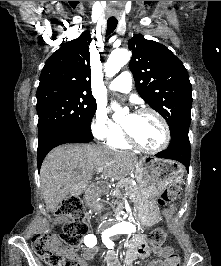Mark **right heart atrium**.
<instances>
[{
	"instance_id": "d8ad5b80",
	"label": "right heart atrium",
	"mask_w": 221,
	"mask_h": 266,
	"mask_svg": "<svg viewBox=\"0 0 221 266\" xmlns=\"http://www.w3.org/2000/svg\"><path fill=\"white\" fill-rule=\"evenodd\" d=\"M91 132L97 140L108 141L121 132V127L109 118L103 107L98 106L91 121Z\"/></svg>"
}]
</instances>
